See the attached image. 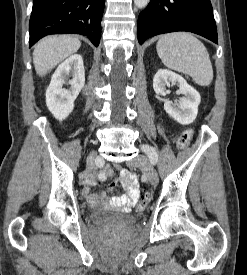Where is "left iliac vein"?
Returning a JSON list of instances; mask_svg holds the SVG:
<instances>
[{
	"label": "left iliac vein",
	"mask_w": 247,
	"mask_h": 275,
	"mask_svg": "<svg viewBox=\"0 0 247 275\" xmlns=\"http://www.w3.org/2000/svg\"><path fill=\"white\" fill-rule=\"evenodd\" d=\"M128 165L141 168L146 174L151 185L155 186L158 183L157 171L144 155H138L129 161Z\"/></svg>",
	"instance_id": "4c4485c4"
}]
</instances>
